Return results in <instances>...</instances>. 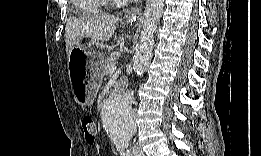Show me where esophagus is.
<instances>
[{
  "mask_svg": "<svg viewBox=\"0 0 261 156\" xmlns=\"http://www.w3.org/2000/svg\"><path fill=\"white\" fill-rule=\"evenodd\" d=\"M130 13H131V15L133 16V11H131Z\"/></svg>",
  "mask_w": 261,
  "mask_h": 156,
  "instance_id": "esophagus-1",
  "label": "esophagus"
}]
</instances>
